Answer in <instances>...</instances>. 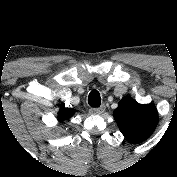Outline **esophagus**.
<instances>
[{"instance_id": "1", "label": "esophagus", "mask_w": 177, "mask_h": 177, "mask_svg": "<svg viewBox=\"0 0 177 177\" xmlns=\"http://www.w3.org/2000/svg\"><path fill=\"white\" fill-rule=\"evenodd\" d=\"M104 110H105V107L101 106V107H97V108H91L89 110V112L94 115H100L104 112Z\"/></svg>"}]
</instances>
